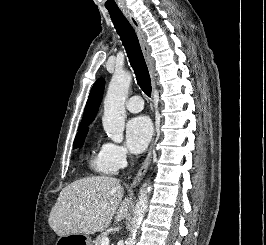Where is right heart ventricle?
<instances>
[{"mask_svg":"<svg viewBox=\"0 0 266 245\" xmlns=\"http://www.w3.org/2000/svg\"><path fill=\"white\" fill-rule=\"evenodd\" d=\"M90 168L97 174L111 176L115 170L107 162L101 147L94 145L90 149Z\"/></svg>","mask_w":266,"mask_h":245,"instance_id":"e07e8e85","label":"right heart ventricle"}]
</instances>
